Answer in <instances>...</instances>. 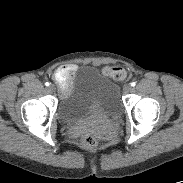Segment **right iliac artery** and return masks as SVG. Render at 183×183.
Wrapping results in <instances>:
<instances>
[{
    "label": "right iliac artery",
    "instance_id": "82829eb1",
    "mask_svg": "<svg viewBox=\"0 0 183 183\" xmlns=\"http://www.w3.org/2000/svg\"><path fill=\"white\" fill-rule=\"evenodd\" d=\"M45 85H46V86H49L50 84H49V82H46Z\"/></svg>",
    "mask_w": 183,
    "mask_h": 183
}]
</instances>
